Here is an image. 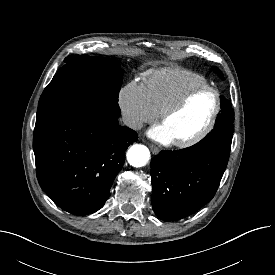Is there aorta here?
I'll use <instances>...</instances> for the list:
<instances>
[{
	"mask_svg": "<svg viewBox=\"0 0 275 275\" xmlns=\"http://www.w3.org/2000/svg\"><path fill=\"white\" fill-rule=\"evenodd\" d=\"M128 163L133 167H143L150 160L149 149L141 144H135L127 151Z\"/></svg>",
	"mask_w": 275,
	"mask_h": 275,
	"instance_id": "aorta-1",
	"label": "aorta"
}]
</instances>
